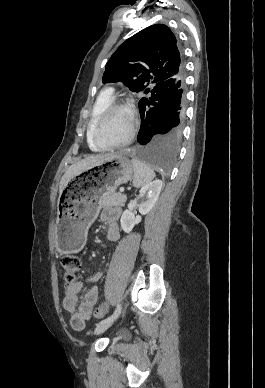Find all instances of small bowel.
<instances>
[{
    "label": "small bowel",
    "instance_id": "c3829d8e",
    "mask_svg": "<svg viewBox=\"0 0 265 388\" xmlns=\"http://www.w3.org/2000/svg\"><path fill=\"white\" fill-rule=\"evenodd\" d=\"M119 208H105L101 212V219L108 224L106 239L116 242L120 237L118 221ZM101 273L96 272L84 280L76 281L65 290L63 307L70 314V324L75 330H82L90 319L93 308L98 301V290L94 283L100 278ZM83 293L82 299L81 294Z\"/></svg>",
    "mask_w": 265,
    "mask_h": 388
}]
</instances>
